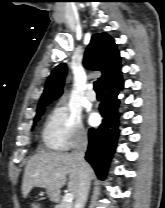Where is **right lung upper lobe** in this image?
Returning <instances> with one entry per match:
<instances>
[{"mask_svg":"<svg viewBox=\"0 0 165 208\" xmlns=\"http://www.w3.org/2000/svg\"><path fill=\"white\" fill-rule=\"evenodd\" d=\"M84 65L90 70L101 71L102 76L99 80L102 86L119 76L121 74L120 55L114 39L106 33L94 34L85 51ZM66 73L65 63L53 69L39 100L37 112L61 96Z\"/></svg>","mask_w":165,"mask_h":208,"instance_id":"obj_1","label":"right lung upper lobe"}]
</instances>
